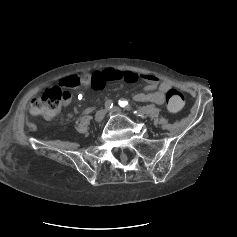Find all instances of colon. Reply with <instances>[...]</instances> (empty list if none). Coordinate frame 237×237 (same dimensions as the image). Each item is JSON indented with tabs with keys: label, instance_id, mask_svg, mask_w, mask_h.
<instances>
[{
	"label": "colon",
	"instance_id": "1",
	"mask_svg": "<svg viewBox=\"0 0 237 237\" xmlns=\"http://www.w3.org/2000/svg\"><path fill=\"white\" fill-rule=\"evenodd\" d=\"M81 85V77H71L57 86L46 89L40 97L33 100L30 104V112L35 116L52 118L56 115L62 104L70 98L69 89ZM167 108L170 112L180 111L184 105L182 93L174 88H170L166 94Z\"/></svg>",
	"mask_w": 237,
	"mask_h": 237
}]
</instances>
